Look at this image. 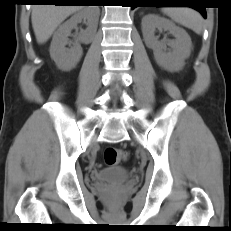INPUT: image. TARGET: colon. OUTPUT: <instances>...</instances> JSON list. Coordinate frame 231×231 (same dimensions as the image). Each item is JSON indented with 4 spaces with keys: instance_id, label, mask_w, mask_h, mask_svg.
<instances>
[{
    "instance_id": "5ec220e1",
    "label": "colon",
    "mask_w": 231,
    "mask_h": 231,
    "mask_svg": "<svg viewBox=\"0 0 231 231\" xmlns=\"http://www.w3.org/2000/svg\"><path fill=\"white\" fill-rule=\"evenodd\" d=\"M128 158V153L117 147H108L104 152V161L109 166L117 165Z\"/></svg>"
}]
</instances>
